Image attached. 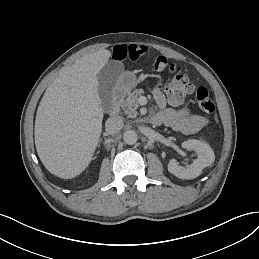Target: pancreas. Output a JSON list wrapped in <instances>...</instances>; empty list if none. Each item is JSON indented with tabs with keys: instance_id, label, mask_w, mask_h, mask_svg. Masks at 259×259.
Instances as JSON below:
<instances>
[{
	"instance_id": "cf45deb5",
	"label": "pancreas",
	"mask_w": 259,
	"mask_h": 259,
	"mask_svg": "<svg viewBox=\"0 0 259 259\" xmlns=\"http://www.w3.org/2000/svg\"><path fill=\"white\" fill-rule=\"evenodd\" d=\"M143 89H136L132 93L128 95V97L124 100V102L121 104V108L124 111L125 114H127L129 117H136L137 116V108H138V96L143 94Z\"/></svg>"
}]
</instances>
